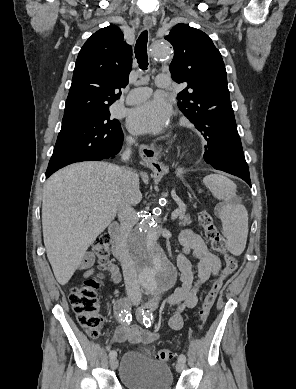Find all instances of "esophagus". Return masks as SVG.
Segmentation results:
<instances>
[{
	"mask_svg": "<svg viewBox=\"0 0 296 389\" xmlns=\"http://www.w3.org/2000/svg\"><path fill=\"white\" fill-rule=\"evenodd\" d=\"M143 25L146 29L152 27V19L144 18ZM142 152L144 155L145 165L149 169L160 168L164 172L168 170V167L164 165L159 158V151L155 150L154 147L142 146Z\"/></svg>",
	"mask_w": 296,
	"mask_h": 389,
	"instance_id": "obj_1",
	"label": "esophagus"
}]
</instances>
